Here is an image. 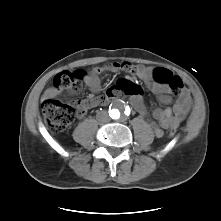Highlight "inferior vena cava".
Masks as SVG:
<instances>
[{"label": "inferior vena cava", "instance_id": "inferior-vena-cava-1", "mask_svg": "<svg viewBox=\"0 0 221 221\" xmlns=\"http://www.w3.org/2000/svg\"><path fill=\"white\" fill-rule=\"evenodd\" d=\"M97 119L101 122H109L110 121V117L108 116V114L106 112H99L97 114Z\"/></svg>", "mask_w": 221, "mask_h": 221}]
</instances>
